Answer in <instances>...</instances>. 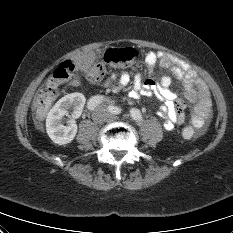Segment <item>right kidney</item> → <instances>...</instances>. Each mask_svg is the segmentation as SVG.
<instances>
[{
  "instance_id": "1",
  "label": "right kidney",
  "mask_w": 233,
  "mask_h": 233,
  "mask_svg": "<svg viewBox=\"0 0 233 233\" xmlns=\"http://www.w3.org/2000/svg\"><path fill=\"white\" fill-rule=\"evenodd\" d=\"M86 99L81 93H72L62 97L50 110L46 119V131L50 139L58 145L71 143L77 133V124L74 119L78 118L83 111ZM72 110L67 125L62 123L64 116H68Z\"/></svg>"
}]
</instances>
